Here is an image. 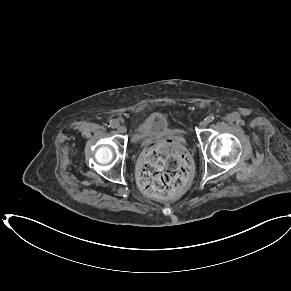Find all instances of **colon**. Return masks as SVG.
<instances>
[{"mask_svg": "<svg viewBox=\"0 0 291 291\" xmlns=\"http://www.w3.org/2000/svg\"><path fill=\"white\" fill-rule=\"evenodd\" d=\"M189 178L188 158L175 142H157L144 152L138 180L148 195L157 198L177 195L187 187Z\"/></svg>", "mask_w": 291, "mask_h": 291, "instance_id": "obj_1", "label": "colon"}]
</instances>
